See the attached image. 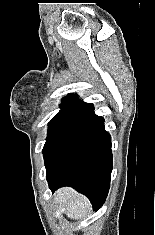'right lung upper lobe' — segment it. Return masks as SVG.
<instances>
[{
  "mask_svg": "<svg viewBox=\"0 0 155 235\" xmlns=\"http://www.w3.org/2000/svg\"><path fill=\"white\" fill-rule=\"evenodd\" d=\"M58 114L92 124L99 120L93 112V106L78 99L76 94H70L64 98L61 104V110Z\"/></svg>",
  "mask_w": 155,
  "mask_h": 235,
  "instance_id": "right-lung-upper-lobe-1",
  "label": "right lung upper lobe"
}]
</instances>
